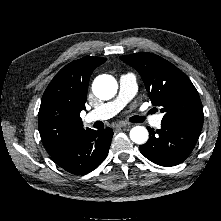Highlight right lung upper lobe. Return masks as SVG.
Masks as SVG:
<instances>
[{
  "mask_svg": "<svg viewBox=\"0 0 221 221\" xmlns=\"http://www.w3.org/2000/svg\"><path fill=\"white\" fill-rule=\"evenodd\" d=\"M105 58L85 57L63 67L46 88L38 115L40 136L50 155L85 131L80 112L85 110L93 70Z\"/></svg>",
  "mask_w": 221,
  "mask_h": 221,
  "instance_id": "1",
  "label": "right lung upper lobe"
}]
</instances>
